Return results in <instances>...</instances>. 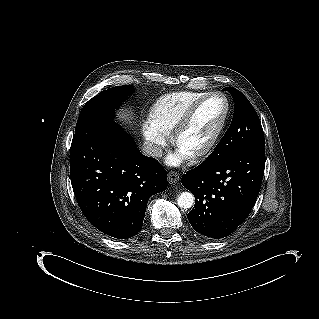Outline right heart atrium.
I'll return each instance as SVG.
<instances>
[{
  "label": "right heart atrium",
  "instance_id": "d8ad5b80",
  "mask_svg": "<svg viewBox=\"0 0 319 319\" xmlns=\"http://www.w3.org/2000/svg\"><path fill=\"white\" fill-rule=\"evenodd\" d=\"M142 133L151 154L159 156L167 146L168 137L166 131L149 121L143 126Z\"/></svg>",
  "mask_w": 319,
  "mask_h": 319
}]
</instances>
